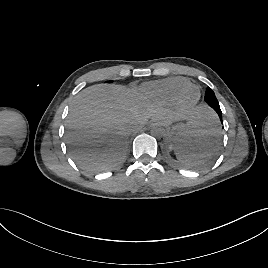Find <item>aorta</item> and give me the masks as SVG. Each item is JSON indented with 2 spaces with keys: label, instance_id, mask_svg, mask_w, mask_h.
Returning a JSON list of instances; mask_svg holds the SVG:
<instances>
[{
  "label": "aorta",
  "instance_id": "aorta-1",
  "mask_svg": "<svg viewBox=\"0 0 268 268\" xmlns=\"http://www.w3.org/2000/svg\"><path fill=\"white\" fill-rule=\"evenodd\" d=\"M164 133H165V130L160 126H156V127L152 128V130H151V135L156 137V138L162 137L164 135Z\"/></svg>",
  "mask_w": 268,
  "mask_h": 268
}]
</instances>
